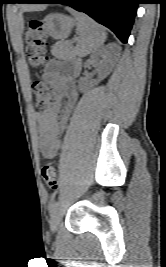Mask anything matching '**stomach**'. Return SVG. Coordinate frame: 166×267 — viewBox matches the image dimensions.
Returning <instances> with one entry per match:
<instances>
[{
  "label": "stomach",
  "instance_id": "stomach-1",
  "mask_svg": "<svg viewBox=\"0 0 166 267\" xmlns=\"http://www.w3.org/2000/svg\"><path fill=\"white\" fill-rule=\"evenodd\" d=\"M43 22L45 32L56 40L67 38L75 25L73 18L61 13H51L44 18Z\"/></svg>",
  "mask_w": 166,
  "mask_h": 267
}]
</instances>
